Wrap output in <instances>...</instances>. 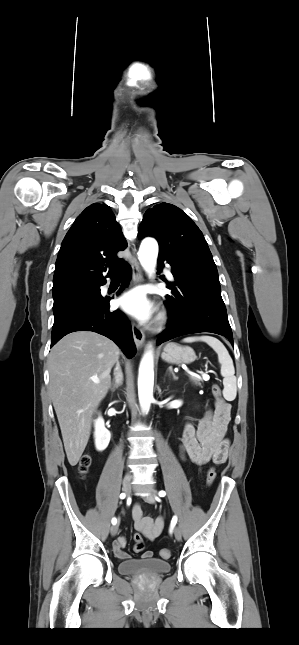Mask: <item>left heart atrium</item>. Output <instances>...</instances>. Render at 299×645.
Here are the masks:
<instances>
[{
	"instance_id": "39dd6f15",
	"label": "left heart atrium",
	"mask_w": 299,
	"mask_h": 645,
	"mask_svg": "<svg viewBox=\"0 0 299 645\" xmlns=\"http://www.w3.org/2000/svg\"><path fill=\"white\" fill-rule=\"evenodd\" d=\"M118 305L125 312L139 320H147L151 314V305L141 289H134L124 293L118 299Z\"/></svg>"
}]
</instances>
